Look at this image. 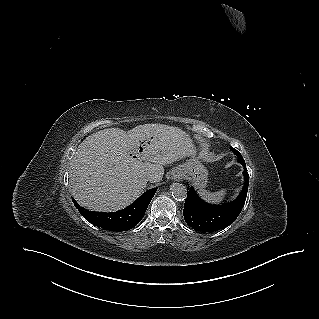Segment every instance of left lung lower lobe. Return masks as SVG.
<instances>
[{"mask_svg": "<svg viewBox=\"0 0 319 319\" xmlns=\"http://www.w3.org/2000/svg\"><path fill=\"white\" fill-rule=\"evenodd\" d=\"M244 166V186L236 200L223 205H209L202 201L193 187L187 192L183 215L186 223L196 231L214 232L224 229L234 222L240 214L246 200L249 175L245 161L239 162Z\"/></svg>", "mask_w": 319, "mask_h": 319, "instance_id": "0a47b994", "label": "left lung lower lobe"}]
</instances>
